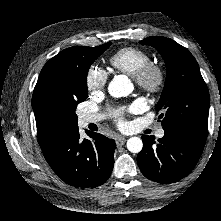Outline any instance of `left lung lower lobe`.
<instances>
[{
    "instance_id": "left-lung-lower-lobe-1",
    "label": "left lung lower lobe",
    "mask_w": 221,
    "mask_h": 221,
    "mask_svg": "<svg viewBox=\"0 0 221 221\" xmlns=\"http://www.w3.org/2000/svg\"><path fill=\"white\" fill-rule=\"evenodd\" d=\"M143 149L137 163L145 177L159 183H173L187 176L198 162L206 139L186 131L165 130L158 143L143 135Z\"/></svg>"
}]
</instances>
